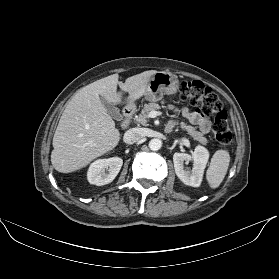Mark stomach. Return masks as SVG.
Here are the masks:
<instances>
[{"label": "stomach", "instance_id": "0dacf381", "mask_svg": "<svg viewBox=\"0 0 279 279\" xmlns=\"http://www.w3.org/2000/svg\"><path fill=\"white\" fill-rule=\"evenodd\" d=\"M178 79L168 72H157L151 77L144 93L146 101L157 102L163 98V95H172L178 91ZM133 103L128 101V108H132Z\"/></svg>", "mask_w": 279, "mask_h": 279}]
</instances>
